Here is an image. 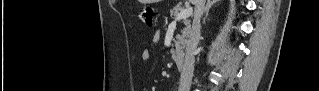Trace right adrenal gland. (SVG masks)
Here are the masks:
<instances>
[{
  "label": "right adrenal gland",
  "mask_w": 319,
  "mask_h": 91,
  "mask_svg": "<svg viewBox=\"0 0 319 91\" xmlns=\"http://www.w3.org/2000/svg\"><path fill=\"white\" fill-rule=\"evenodd\" d=\"M216 2H217L216 0H208V1H207L206 7H205V16H204V18H203V23H205V20H206V18L208 17V13H209L210 8H211Z\"/></svg>",
  "instance_id": "2a0ac1e0"
}]
</instances>
